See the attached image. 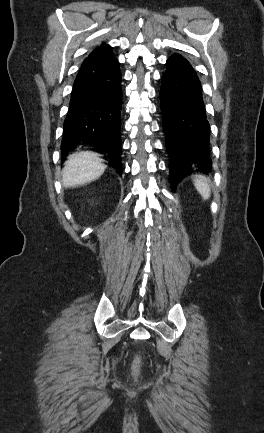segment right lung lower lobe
Instances as JSON below:
<instances>
[{
  "instance_id": "98d812e1",
  "label": "right lung lower lobe",
  "mask_w": 264,
  "mask_h": 433,
  "mask_svg": "<svg viewBox=\"0 0 264 433\" xmlns=\"http://www.w3.org/2000/svg\"><path fill=\"white\" fill-rule=\"evenodd\" d=\"M122 88L119 62L112 54L94 50L76 76L61 143L65 155L81 141L108 155L109 165L122 173Z\"/></svg>"
}]
</instances>
